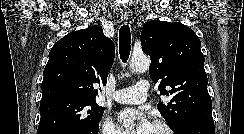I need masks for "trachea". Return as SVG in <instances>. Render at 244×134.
I'll return each instance as SVG.
<instances>
[{"label": "trachea", "mask_w": 244, "mask_h": 134, "mask_svg": "<svg viewBox=\"0 0 244 134\" xmlns=\"http://www.w3.org/2000/svg\"><path fill=\"white\" fill-rule=\"evenodd\" d=\"M131 50V33L128 25L121 26L119 30V54L123 62H127Z\"/></svg>", "instance_id": "obj_1"}]
</instances>
